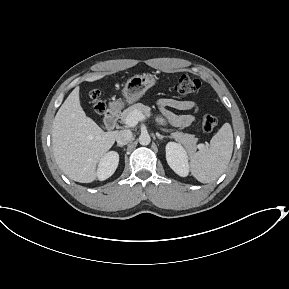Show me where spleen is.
<instances>
[{
	"mask_svg": "<svg viewBox=\"0 0 289 289\" xmlns=\"http://www.w3.org/2000/svg\"><path fill=\"white\" fill-rule=\"evenodd\" d=\"M233 132L225 123L212 137L208 146H203L190 159L192 175L201 183L218 179L227 168L233 152Z\"/></svg>",
	"mask_w": 289,
	"mask_h": 289,
	"instance_id": "3e777b00",
	"label": "spleen"
}]
</instances>
